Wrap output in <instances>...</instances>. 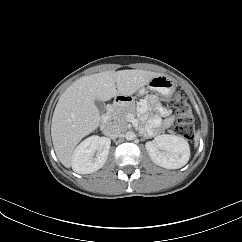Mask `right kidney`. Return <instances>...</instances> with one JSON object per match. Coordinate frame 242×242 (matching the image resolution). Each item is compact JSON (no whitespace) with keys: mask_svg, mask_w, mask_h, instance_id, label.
Listing matches in <instances>:
<instances>
[{"mask_svg":"<svg viewBox=\"0 0 242 242\" xmlns=\"http://www.w3.org/2000/svg\"><path fill=\"white\" fill-rule=\"evenodd\" d=\"M110 140L106 137L91 136L82 141L72 155V169L79 174H90L98 171L105 164ZM97 152L96 157H94Z\"/></svg>","mask_w":242,"mask_h":242,"instance_id":"1","label":"right kidney"}]
</instances>
